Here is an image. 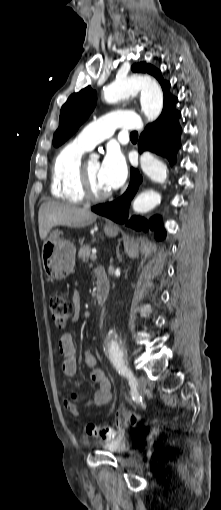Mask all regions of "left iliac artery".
<instances>
[{"label": "left iliac artery", "instance_id": "1", "mask_svg": "<svg viewBox=\"0 0 221 510\" xmlns=\"http://www.w3.org/2000/svg\"><path fill=\"white\" fill-rule=\"evenodd\" d=\"M109 358L119 373L129 379L131 385L136 384V379L132 371L128 368L126 361L123 359V350L118 344H114L109 349Z\"/></svg>", "mask_w": 221, "mask_h": 510}]
</instances>
